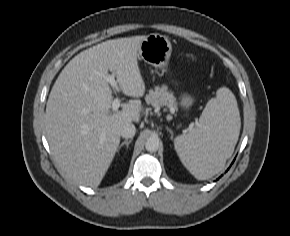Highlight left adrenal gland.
<instances>
[{"mask_svg": "<svg viewBox=\"0 0 290 236\" xmlns=\"http://www.w3.org/2000/svg\"><path fill=\"white\" fill-rule=\"evenodd\" d=\"M167 131L170 132V134H171V139H173V131H172L171 129H169L168 127H167Z\"/></svg>", "mask_w": 290, "mask_h": 236, "instance_id": "left-adrenal-gland-1", "label": "left adrenal gland"}]
</instances>
